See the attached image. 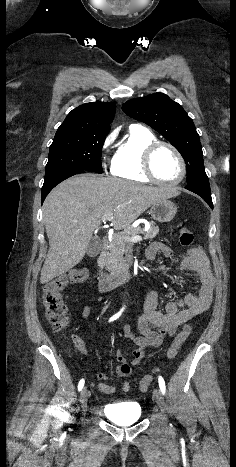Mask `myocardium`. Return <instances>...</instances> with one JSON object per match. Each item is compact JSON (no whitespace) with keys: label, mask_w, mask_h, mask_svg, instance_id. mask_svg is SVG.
I'll list each match as a JSON object with an SVG mask.
<instances>
[{"label":"myocardium","mask_w":236,"mask_h":467,"mask_svg":"<svg viewBox=\"0 0 236 467\" xmlns=\"http://www.w3.org/2000/svg\"><path fill=\"white\" fill-rule=\"evenodd\" d=\"M161 147H167L169 148L171 151L174 152V154L177 156L179 162H180V166H181V174H180V177L175 180V181H172V182H166V181H162L160 180L155 171H154V168H153V159H154V156L157 152V150ZM142 168H143V171L145 173V175L153 182L159 184V185H164V186H176V185H179L185 178L186 176V173H187V166H186V162H185V159L183 157V155L181 154V152L171 143L169 142H166V141H160V140H156L150 144H148L144 151H143V162H142Z\"/></svg>","instance_id":"1"}]
</instances>
